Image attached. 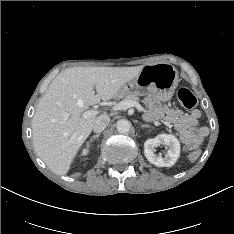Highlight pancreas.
<instances>
[{
    "instance_id": "pancreas-1",
    "label": "pancreas",
    "mask_w": 234,
    "mask_h": 234,
    "mask_svg": "<svg viewBox=\"0 0 234 234\" xmlns=\"http://www.w3.org/2000/svg\"><path fill=\"white\" fill-rule=\"evenodd\" d=\"M124 100H131V101L138 102L139 97L137 95L130 94V95L124 96Z\"/></svg>"
}]
</instances>
